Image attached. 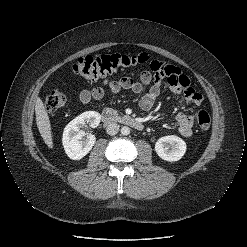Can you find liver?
Listing matches in <instances>:
<instances>
[{
    "label": "liver",
    "mask_w": 247,
    "mask_h": 247,
    "mask_svg": "<svg viewBox=\"0 0 247 247\" xmlns=\"http://www.w3.org/2000/svg\"><path fill=\"white\" fill-rule=\"evenodd\" d=\"M36 124L45 144L53 149V139L51 131V123L43 101L36 99L35 103Z\"/></svg>",
    "instance_id": "6515ba94"
}]
</instances>
